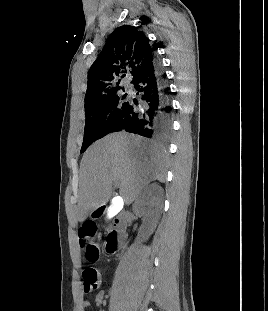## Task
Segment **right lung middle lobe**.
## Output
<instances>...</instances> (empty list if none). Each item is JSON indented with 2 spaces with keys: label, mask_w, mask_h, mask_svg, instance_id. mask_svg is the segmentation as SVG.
<instances>
[{
  "label": "right lung middle lobe",
  "mask_w": 268,
  "mask_h": 311,
  "mask_svg": "<svg viewBox=\"0 0 268 311\" xmlns=\"http://www.w3.org/2000/svg\"><path fill=\"white\" fill-rule=\"evenodd\" d=\"M124 98L125 95L121 97L116 91L85 111L86 121L81 153L93 142L111 132L127 104L123 101Z\"/></svg>",
  "instance_id": "right-lung-middle-lobe-1"
}]
</instances>
